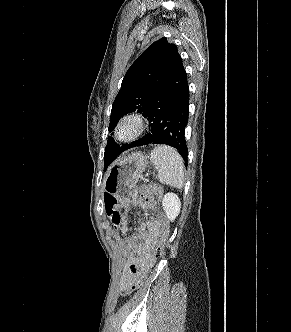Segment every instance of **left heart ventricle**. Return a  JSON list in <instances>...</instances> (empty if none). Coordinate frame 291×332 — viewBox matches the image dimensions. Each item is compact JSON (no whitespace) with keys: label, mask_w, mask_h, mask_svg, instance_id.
<instances>
[{"label":"left heart ventricle","mask_w":291,"mask_h":332,"mask_svg":"<svg viewBox=\"0 0 291 332\" xmlns=\"http://www.w3.org/2000/svg\"><path fill=\"white\" fill-rule=\"evenodd\" d=\"M132 126L131 125H125L121 131H120V136L121 137H127L132 133Z\"/></svg>","instance_id":"1"}]
</instances>
